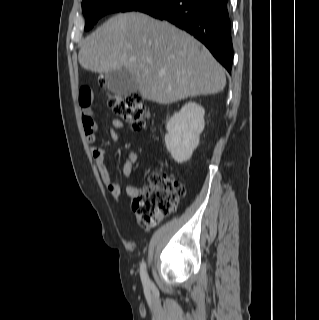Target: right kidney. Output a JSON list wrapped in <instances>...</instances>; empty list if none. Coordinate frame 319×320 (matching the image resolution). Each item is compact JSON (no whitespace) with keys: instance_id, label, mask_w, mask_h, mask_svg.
Segmentation results:
<instances>
[{"instance_id":"right-kidney-1","label":"right kidney","mask_w":319,"mask_h":320,"mask_svg":"<svg viewBox=\"0 0 319 320\" xmlns=\"http://www.w3.org/2000/svg\"><path fill=\"white\" fill-rule=\"evenodd\" d=\"M204 114L201 105L189 102L167 122L165 145L176 162H186L198 146L205 125Z\"/></svg>"}]
</instances>
